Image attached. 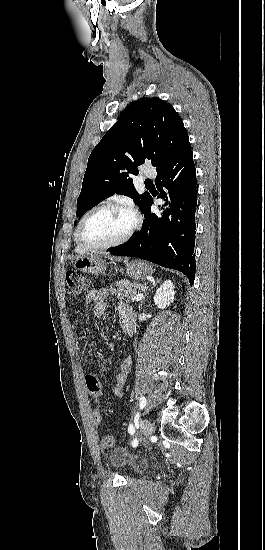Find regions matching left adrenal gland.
<instances>
[{"label": "left adrenal gland", "instance_id": "obj_1", "mask_svg": "<svg viewBox=\"0 0 265 550\" xmlns=\"http://www.w3.org/2000/svg\"><path fill=\"white\" fill-rule=\"evenodd\" d=\"M159 281H160V280L157 279V280L153 283L152 287H150V288L148 289V291H150L155 285H157V283H158ZM146 296H147V295L145 294V296L143 297L141 303L139 304V311L142 310V306H143V304H144V301H145Z\"/></svg>", "mask_w": 265, "mask_h": 550}]
</instances>
